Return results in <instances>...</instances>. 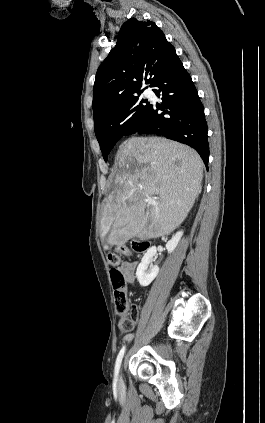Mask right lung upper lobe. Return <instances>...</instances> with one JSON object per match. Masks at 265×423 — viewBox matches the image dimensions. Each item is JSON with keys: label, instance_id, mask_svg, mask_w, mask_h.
Returning a JSON list of instances; mask_svg holds the SVG:
<instances>
[{"label": "right lung upper lobe", "instance_id": "1", "mask_svg": "<svg viewBox=\"0 0 265 423\" xmlns=\"http://www.w3.org/2000/svg\"><path fill=\"white\" fill-rule=\"evenodd\" d=\"M176 56L174 47L154 22L135 18L125 22L116 46L96 73L94 123L122 101L141 93L144 79L151 87Z\"/></svg>", "mask_w": 265, "mask_h": 423}]
</instances>
